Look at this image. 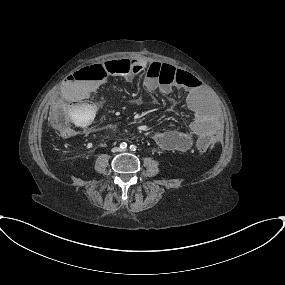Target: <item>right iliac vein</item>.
<instances>
[{"label":"right iliac vein","mask_w":285,"mask_h":285,"mask_svg":"<svg viewBox=\"0 0 285 285\" xmlns=\"http://www.w3.org/2000/svg\"><path fill=\"white\" fill-rule=\"evenodd\" d=\"M117 151H119L118 148H114V149H113V152H117Z\"/></svg>","instance_id":"1"}]
</instances>
